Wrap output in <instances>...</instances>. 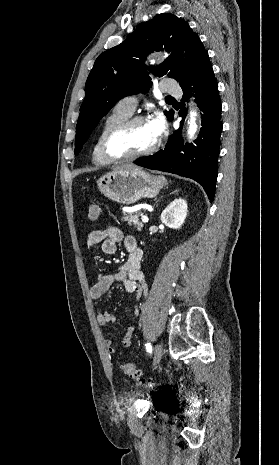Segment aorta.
Segmentation results:
<instances>
[{
	"label": "aorta",
	"instance_id": "aorta-1",
	"mask_svg": "<svg viewBox=\"0 0 279 465\" xmlns=\"http://www.w3.org/2000/svg\"><path fill=\"white\" fill-rule=\"evenodd\" d=\"M196 116L197 113L194 111L190 112V120L188 121L189 129H188V136L192 138L197 131V124H196Z\"/></svg>",
	"mask_w": 279,
	"mask_h": 465
}]
</instances>
